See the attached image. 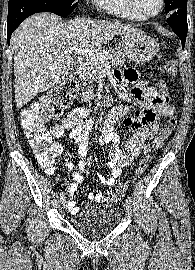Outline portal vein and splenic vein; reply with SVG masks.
<instances>
[{"label": "portal vein and splenic vein", "mask_w": 195, "mask_h": 270, "mask_svg": "<svg viewBox=\"0 0 195 270\" xmlns=\"http://www.w3.org/2000/svg\"><path fill=\"white\" fill-rule=\"evenodd\" d=\"M78 54L86 57L89 60L107 62L112 58V55L105 51H94V50H79Z\"/></svg>", "instance_id": "portal-vein-and-splenic-vein-1"}]
</instances>
